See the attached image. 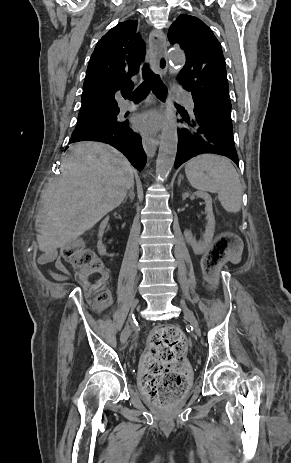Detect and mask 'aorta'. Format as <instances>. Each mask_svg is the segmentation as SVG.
I'll use <instances>...</instances> for the list:
<instances>
[{"label": "aorta", "mask_w": 291, "mask_h": 463, "mask_svg": "<svg viewBox=\"0 0 291 463\" xmlns=\"http://www.w3.org/2000/svg\"><path fill=\"white\" fill-rule=\"evenodd\" d=\"M171 65L170 72L178 74L185 64L186 57L182 51H171L168 54ZM178 146V133L175 116V107L169 97L165 108L164 123L161 131L159 153L156 161V174L165 179L174 165Z\"/></svg>", "instance_id": "1"}]
</instances>
